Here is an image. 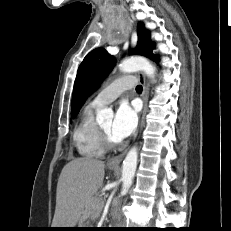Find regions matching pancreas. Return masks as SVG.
Wrapping results in <instances>:
<instances>
[{"instance_id":"obj_1","label":"pancreas","mask_w":231,"mask_h":231,"mask_svg":"<svg viewBox=\"0 0 231 231\" xmlns=\"http://www.w3.org/2000/svg\"><path fill=\"white\" fill-rule=\"evenodd\" d=\"M90 204L92 205V206H101V204H102V196L101 195H95L94 197H92L91 198V202H90Z\"/></svg>"}]
</instances>
